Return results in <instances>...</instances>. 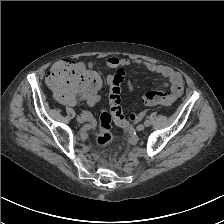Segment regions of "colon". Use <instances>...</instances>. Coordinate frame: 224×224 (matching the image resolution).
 I'll list each match as a JSON object with an SVG mask.
<instances>
[{"label":"colon","instance_id":"5ec220e1","mask_svg":"<svg viewBox=\"0 0 224 224\" xmlns=\"http://www.w3.org/2000/svg\"><path fill=\"white\" fill-rule=\"evenodd\" d=\"M124 71L119 69L111 80L108 111L101 113L99 130L95 137L98 146L107 145L112 139L111 124L114 121L121 127H127L133 120L126 119L121 105V84ZM47 83L53 90L56 98L69 106L79 100L91 99L101 86V78L94 71L70 60H60L55 63L47 74ZM171 94L167 91H149L144 96L146 105H169Z\"/></svg>","mask_w":224,"mask_h":224}]
</instances>
